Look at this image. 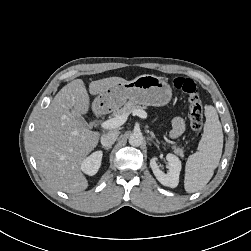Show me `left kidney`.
<instances>
[{
	"label": "left kidney",
	"mask_w": 251,
	"mask_h": 251,
	"mask_svg": "<svg viewBox=\"0 0 251 251\" xmlns=\"http://www.w3.org/2000/svg\"><path fill=\"white\" fill-rule=\"evenodd\" d=\"M157 158L150 160V167L157 178V180L164 186L175 188L179 183V175L181 171V161L174 154H167L166 159L168 161V172L164 173L160 170L156 163Z\"/></svg>",
	"instance_id": "obj_1"
}]
</instances>
